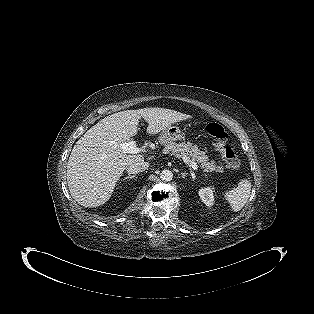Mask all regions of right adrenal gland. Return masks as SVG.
<instances>
[{"instance_id": "right-adrenal-gland-1", "label": "right adrenal gland", "mask_w": 314, "mask_h": 314, "mask_svg": "<svg viewBox=\"0 0 314 314\" xmlns=\"http://www.w3.org/2000/svg\"><path fill=\"white\" fill-rule=\"evenodd\" d=\"M134 177H135V175H128L123 180H129L130 181Z\"/></svg>"}]
</instances>
